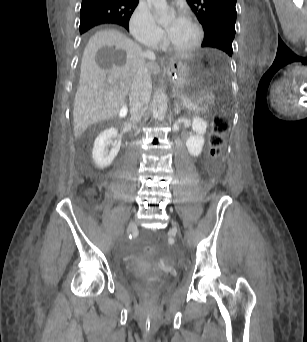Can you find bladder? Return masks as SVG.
<instances>
[{"mask_svg":"<svg viewBox=\"0 0 307 342\" xmlns=\"http://www.w3.org/2000/svg\"><path fill=\"white\" fill-rule=\"evenodd\" d=\"M122 279L138 291H143L148 287L147 277L134 269L126 270L122 275Z\"/></svg>","mask_w":307,"mask_h":342,"instance_id":"1","label":"bladder"}]
</instances>
